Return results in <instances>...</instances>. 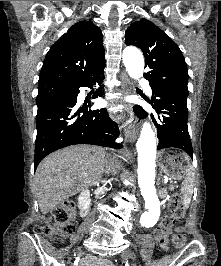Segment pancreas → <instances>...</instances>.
Instances as JSON below:
<instances>
[{
    "label": "pancreas",
    "instance_id": "1",
    "mask_svg": "<svg viewBox=\"0 0 221 266\" xmlns=\"http://www.w3.org/2000/svg\"><path fill=\"white\" fill-rule=\"evenodd\" d=\"M170 190H173V187H170Z\"/></svg>",
    "mask_w": 221,
    "mask_h": 266
}]
</instances>
